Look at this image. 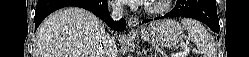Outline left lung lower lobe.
Returning <instances> with one entry per match:
<instances>
[{"instance_id": "obj_1", "label": "left lung lower lobe", "mask_w": 249, "mask_h": 57, "mask_svg": "<svg viewBox=\"0 0 249 57\" xmlns=\"http://www.w3.org/2000/svg\"><path fill=\"white\" fill-rule=\"evenodd\" d=\"M163 17L194 18L207 24L214 32L219 34L220 26L215 0H177L175 8ZM149 21L151 20L147 19L143 22L146 23Z\"/></svg>"}]
</instances>
